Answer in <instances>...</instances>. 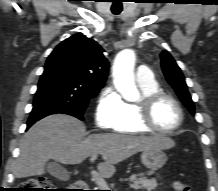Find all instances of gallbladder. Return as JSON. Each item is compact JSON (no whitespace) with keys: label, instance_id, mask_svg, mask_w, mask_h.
I'll list each match as a JSON object with an SVG mask.
<instances>
[{"label":"gallbladder","instance_id":"obj_1","mask_svg":"<svg viewBox=\"0 0 218 191\" xmlns=\"http://www.w3.org/2000/svg\"><path fill=\"white\" fill-rule=\"evenodd\" d=\"M46 169L49 174L61 180L67 177L66 170L57 162L48 163Z\"/></svg>","mask_w":218,"mask_h":191}]
</instances>
